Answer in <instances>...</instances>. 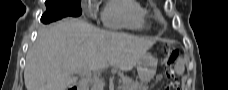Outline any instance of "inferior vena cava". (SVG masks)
Returning a JSON list of instances; mask_svg holds the SVG:
<instances>
[{"label": "inferior vena cava", "mask_w": 228, "mask_h": 90, "mask_svg": "<svg viewBox=\"0 0 228 90\" xmlns=\"http://www.w3.org/2000/svg\"><path fill=\"white\" fill-rule=\"evenodd\" d=\"M87 84L85 81H82L79 85V90H86Z\"/></svg>", "instance_id": "inferior-vena-cava-1"}]
</instances>
